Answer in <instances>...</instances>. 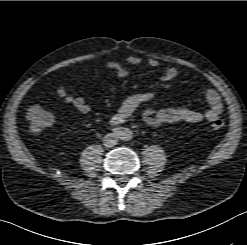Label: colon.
<instances>
[{
  "label": "colon",
  "instance_id": "colon-1",
  "mask_svg": "<svg viewBox=\"0 0 247 245\" xmlns=\"http://www.w3.org/2000/svg\"><path fill=\"white\" fill-rule=\"evenodd\" d=\"M28 128L33 134H39L47 127H49L53 121V117L50 112L45 110L39 105H34L29 108L27 112ZM224 127V121L217 119L213 121L210 126L211 131L218 132Z\"/></svg>",
  "mask_w": 247,
  "mask_h": 245
}]
</instances>
